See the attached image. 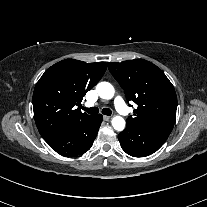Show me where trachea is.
<instances>
[{"instance_id":"1","label":"trachea","mask_w":207,"mask_h":207,"mask_svg":"<svg viewBox=\"0 0 207 207\" xmlns=\"http://www.w3.org/2000/svg\"><path fill=\"white\" fill-rule=\"evenodd\" d=\"M82 109H83L84 111H86L87 113H89V114H97V113L99 112V110H98L97 107H91V108H85V107H83ZM102 113H103L104 115H108V116H110V115L112 114V111H111L110 109H108V108H104V109L102 110Z\"/></svg>"}]
</instances>
